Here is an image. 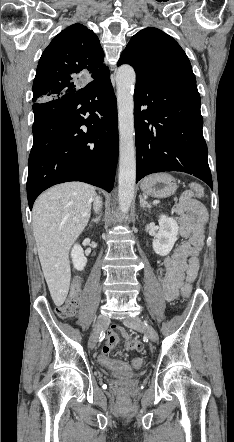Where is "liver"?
I'll return each mask as SVG.
<instances>
[{
	"label": "liver",
	"mask_w": 234,
	"mask_h": 442,
	"mask_svg": "<svg viewBox=\"0 0 234 442\" xmlns=\"http://www.w3.org/2000/svg\"><path fill=\"white\" fill-rule=\"evenodd\" d=\"M93 186L68 182L41 194L33 206V234L51 297L56 306L66 300L71 268L69 250L88 224Z\"/></svg>",
	"instance_id": "6515ba94"
}]
</instances>
